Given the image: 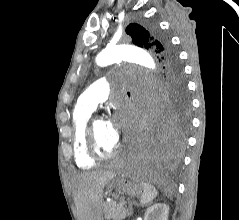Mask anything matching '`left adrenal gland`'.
Here are the masks:
<instances>
[{
	"mask_svg": "<svg viewBox=\"0 0 239 220\" xmlns=\"http://www.w3.org/2000/svg\"><path fill=\"white\" fill-rule=\"evenodd\" d=\"M133 205H139L137 204V202L133 201L129 203V216H131L133 214Z\"/></svg>",
	"mask_w": 239,
	"mask_h": 220,
	"instance_id": "obj_1",
	"label": "left adrenal gland"
}]
</instances>
